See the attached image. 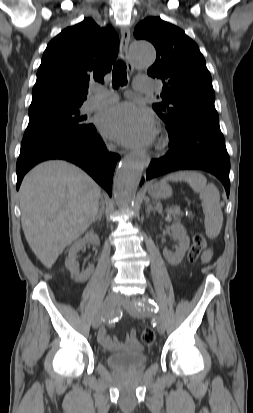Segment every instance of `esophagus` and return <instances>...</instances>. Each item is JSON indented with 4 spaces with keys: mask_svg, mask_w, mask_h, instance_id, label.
I'll return each mask as SVG.
<instances>
[{
    "mask_svg": "<svg viewBox=\"0 0 253 413\" xmlns=\"http://www.w3.org/2000/svg\"><path fill=\"white\" fill-rule=\"evenodd\" d=\"M129 41H130V31L128 28L124 27L121 28V37H120V51H121V56L124 59V61L126 62L127 65V70L129 71V73H133L134 71V67L129 59L128 56V45H129ZM141 155H143V162H144V166H147L150 162V157L149 156H145V152L141 151L140 152Z\"/></svg>",
    "mask_w": 253,
    "mask_h": 413,
    "instance_id": "34e87169",
    "label": "esophagus"
}]
</instances>
